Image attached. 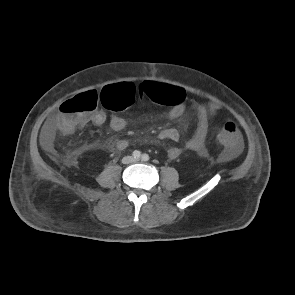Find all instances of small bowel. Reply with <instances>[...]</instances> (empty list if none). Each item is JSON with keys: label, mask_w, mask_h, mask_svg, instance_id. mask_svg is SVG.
<instances>
[{"label": "small bowel", "mask_w": 295, "mask_h": 295, "mask_svg": "<svg viewBox=\"0 0 295 295\" xmlns=\"http://www.w3.org/2000/svg\"><path fill=\"white\" fill-rule=\"evenodd\" d=\"M178 90L176 101L172 104L171 109L167 113L168 119H178L184 116L186 111L185 103V91L182 88L174 87ZM219 107L214 103H202L196 102L194 104V112L197 120V127L194 135L186 142V149L193 151L200 156H207L208 151L206 147V137L209 126L218 111ZM106 120V115L103 111L92 112L81 126L90 123L96 126L102 125ZM110 127L114 131H122L127 127V121L118 115H113L110 118ZM57 128V116L50 118L41 132V144L47 151H51L54 145V136ZM159 138L162 140H170L177 142L180 140V133L174 128L163 129L159 133ZM114 146L118 150H124L129 146V142L126 139H118L113 142ZM242 144L239 135L238 144L233 148H228V156L234 157L241 150ZM182 153L179 147H170L167 150V156L169 159H177Z\"/></svg>", "instance_id": "small-bowel-1"}]
</instances>
